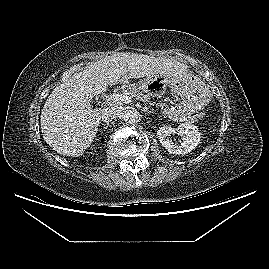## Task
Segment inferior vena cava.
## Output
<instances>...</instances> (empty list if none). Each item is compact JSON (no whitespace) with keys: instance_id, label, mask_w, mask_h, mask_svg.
I'll return each instance as SVG.
<instances>
[{"instance_id":"obj_1","label":"inferior vena cava","mask_w":269,"mask_h":269,"mask_svg":"<svg viewBox=\"0 0 269 269\" xmlns=\"http://www.w3.org/2000/svg\"><path fill=\"white\" fill-rule=\"evenodd\" d=\"M122 115V108L113 105L109 108H106L102 110V121H104L106 124H109L111 121H113L115 118L119 117Z\"/></svg>"}]
</instances>
